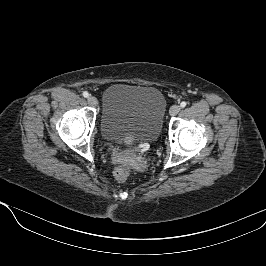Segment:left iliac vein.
Returning <instances> with one entry per match:
<instances>
[{"label": "left iliac vein", "instance_id": "left-iliac-vein-1", "mask_svg": "<svg viewBox=\"0 0 266 266\" xmlns=\"http://www.w3.org/2000/svg\"><path fill=\"white\" fill-rule=\"evenodd\" d=\"M180 109H181L180 106L175 104L171 106L169 113L171 116H175L179 113Z\"/></svg>", "mask_w": 266, "mask_h": 266}]
</instances>
